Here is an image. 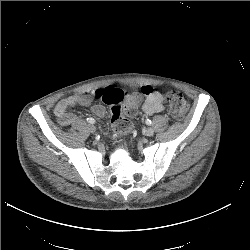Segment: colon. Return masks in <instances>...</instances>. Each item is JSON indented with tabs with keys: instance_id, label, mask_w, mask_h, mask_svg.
<instances>
[{
	"instance_id": "5ec220e1",
	"label": "colon",
	"mask_w": 250,
	"mask_h": 250,
	"mask_svg": "<svg viewBox=\"0 0 250 250\" xmlns=\"http://www.w3.org/2000/svg\"><path fill=\"white\" fill-rule=\"evenodd\" d=\"M94 95L111 108L113 129L119 134L130 132L131 125L125 114H134L141 100V94L139 92H125L118 87L111 86L103 90H96ZM167 100L172 118L181 120L188 111V101L181 93L176 91L168 93Z\"/></svg>"
}]
</instances>
